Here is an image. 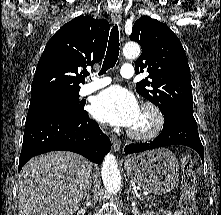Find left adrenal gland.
<instances>
[{
    "label": "left adrenal gland",
    "instance_id": "left-adrenal-gland-1",
    "mask_svg": "<svg viewBox=\"0 0 221 215\" xmlns=\"http://www.w3.org/2000/svg\"><path fill=\"white\" fill-rule=\"evenodd\" d=\"M128 192L130 193H133L134 194V191H133V189H132V187H131V184H129V190H128ZM135 197V196H134Z\"/></svg>",
    "mask_w": 221,
    "mask_h": 215
}]
</instances>
